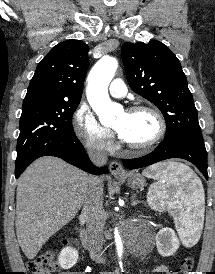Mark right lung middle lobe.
<instances>
[{
  "mask_svg": "<svg viewBox=\"0 0 215 274\" xmlns=\"http://www.w3.org/2000/svg\"><path fill=\"white\" fill-rule=\"evenodd\" d=\"M79 102L36 100L23 103L16 167L43 149L77 139L72 116Z\"/></svg>",
  "mask_w": 215,
  "mask_h": 274,
  "instance_id": "1",
  "label": "right lung middle lobe"
}]
</instances>
